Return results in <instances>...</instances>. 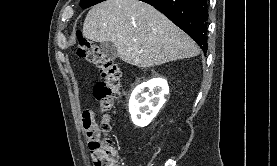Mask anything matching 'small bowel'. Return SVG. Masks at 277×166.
<instances>
[{
    "label": "small bowel",
    "mask_w": 277,
    "mask_h": 166,
    "mask_svg": "<svg viewBox=\"0 0 277 166\" xmlns=\"http://www.w3.org/2000/svg\"><path fill=\"white\" fill-rule=\"evenodd\" d=\"M87 113L90 115V119H91L94 123H96V114H95V112L92 111V110H87V111H85V112L83 113V115H82V122H83V125H84V123L86 122V118H87L86 114H87Z\"/></svg>",
    "instance_id": "c3829d8e"
}]
</instances>
